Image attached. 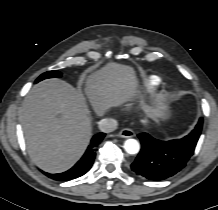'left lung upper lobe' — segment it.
<instances>
[{
    "instance_id": "left-lung-upper-lobe-1",
    "label": "left lung upper lobe",
    "mask_w": 218,
    "mask_h": 210,
    "mask_svg": "<svg viewBox=\"0 0 218 210\" xmlns=\"http://www.w3.org/2000/svg\"><path fill=\"white\" fill-rule=\"evenodd\" d=\"M198 123H200V124L203 123V119L200 118Z\"/></svg>"
}]
</instances>
